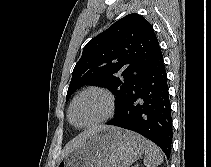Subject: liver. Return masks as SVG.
Here are the masks:
<instances>
[{
	"instance_id": "liver-1",
	"label": "liver",
	"mask_w": 211,
	"mask_h": 167,
	"mask_svg": "<svg viewBox=\"0 0 211 167\" xmlns=\"http://www.w3.org/2000/svg\"><path fill=\"white\" fill-rule=\"evenodd\" d=\"M107 126H95L92 127L86 131H84L82 134H80L77 138H75L74 140H72L71 142H69L65 149L63 150V156L66 155L68 152H70L71 150L75 149L76 147H78L79 145H81L83 143V141L93 132H95L96 130L99 129H103L106 128Z\"/></svg>"
}]
</instances>
